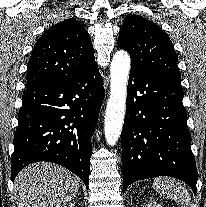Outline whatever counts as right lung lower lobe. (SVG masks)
Here are the masks:
<instances>
[{
  "label": "right lung lower lobe",
  "mask_w": 206,
  "mask_h": 207,
  "mask_svg": "<svg viewBox=\"0 0 206 207\" xmlns=\"http://www.w3.org/2000/svg\"><path fill=\"white\" fill-rule=\"evenodd\" d=\"M104 98L97 65L74 78L27 87L14 136L11 180L36 161L57 163L89 184L91 142Z\"/></svg>",
  "instance_id": "right-lung-lower-lobe-1"
}]
</instances>
